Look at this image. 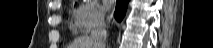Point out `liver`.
<instances>
[{"label": "liver", "instance_id": "1", "mask_svg": "<svg viewBox=\"0 0 213 48\" xmlns=\"http://www.w3.org/2000/svg\"><path fill=\"white\" fill-rule=\"evenodd\" d=\"M69 48H95V45L89 36H81L76 38Z\"/></svg>", "mask_w": 213, "mask_h": 48}]
</instances>
